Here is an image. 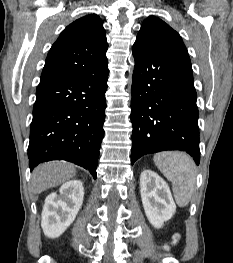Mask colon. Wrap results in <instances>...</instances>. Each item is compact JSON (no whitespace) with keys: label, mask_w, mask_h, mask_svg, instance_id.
<instances>
[{"label":"colon","mask_w":233,"mask_h":263,"mask_svg":"<svg viewBox=\"0 0 233 263\" xmlns=\"http://www.w3.org/2000/svg\"><path fill=\"white\" fill-rule=\"evenodd\" d=\"M179 240L180 236L178 234H175L170 242L160 244L159 248L162 251H168L171 247L176 246L179 243Z\"/></svg>","instance_id":"5ec220e1"}]
</instances>
